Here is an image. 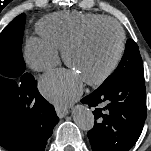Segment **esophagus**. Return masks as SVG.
<instances>
[{"label":"esophagus","mask_w":151,"mask_h":151,"mask_svg":"<svg viewBox=\"0 0 151 151\" xmlns=\"http://www.w3.org/2000/svg\"><path fill=\"white\" fill-rule=\"evenodd\" d=\"M56 113L60 118H63L69 113V111L67 108L56 107Z\"/></svg>","instance_id":"esophagus-1"}]
</instances>
